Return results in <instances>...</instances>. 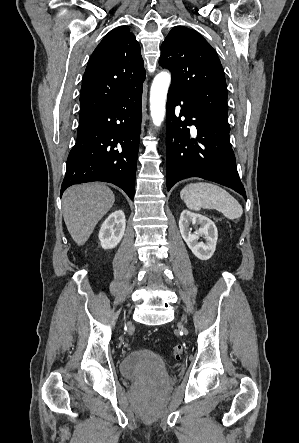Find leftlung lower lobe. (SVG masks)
I'll list each match as a JSON object with an SVG mask.
<instances>
[{
  "instance_id": "1",
  "label": "left lung lower lobe",
  "mask_w": 299,
  "mask_h": 443,
  "mask_svg": "<svg viewBox=\"0 0 299 443\" xmlns=\"http://www.w3.org/2000/svg\"><path fill=\"white\" fill-rule=\"evenodd\" d=\"M167 189L189 177L227 186L246 199L230 144L228 120L169 88L166 105ZM195 125L192 136L187 126Z\"/></svg>"
}]
</instances>
